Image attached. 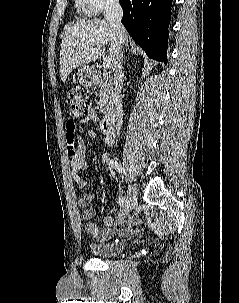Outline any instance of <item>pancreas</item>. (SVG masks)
Masks as SVG:
<instances>
[{
    "label": "pancreas",
    "mask_w": 239,
    "mask_h": 303,
    "mask_svg": "<svg viewBox=\"0 0 239 303\" xmlns=\"http://www.w3.org/2000/svg\"><path fill=\"white\" fill-rule=\"evenodd\" d=\"M95 85L100 89V100L98 101V105L101 109V112L104 115L110 113L112 109V86L111 81L108 80L107 76L104 73H96L94 75Z\"/></svg>",
    "instance_id": "cf45deb5"
}]
</instances>
